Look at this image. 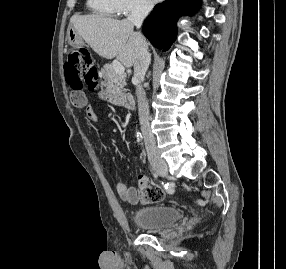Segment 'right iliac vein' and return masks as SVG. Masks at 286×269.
Listing matches in <instances>:
<instances>
[{"label":"right iliac vein","instance_id":"63e3f726","mask_svg":"<svg viewBox=\"0 0 286 269\" xmlns=\"http://www.w3.org/2000/svg\"><path fill=\"white\" fill-rule=\"evenodd\" d=\"M155 169H156L157 173L162 175V176H166L168 173V167L166 164H161V165L157 166Z\"/></svg>","mask_w":286,"mask_h":269}]
</instances>
